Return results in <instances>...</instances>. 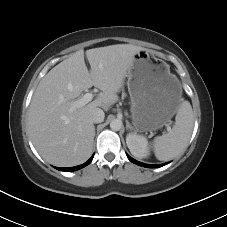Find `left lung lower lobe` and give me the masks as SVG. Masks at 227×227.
Instances as JSON below:
<instances>
[{"label": "left lung lower lobe", "instance_id": "0a47b994", "mask_svg": "<svg viewBox=\"0 0 227 227\" xmlns=\"http://www.w3.org/2000/svg\"><path fill=\"white\" fill-rule=\"evenodd\" d=\"M127 157H128V159H129L131 162H133V163H135V164H137V165H139V166H142V167L157 168V167H162V166L165 165V164H161V165H149V164H145V163H141V162H139V161H136V160H134L133 158H131V157L128 156V155H127ZM166 164H167V163H166Z\"/></svg>", "mask_w": 227, "mask_h": 227}]
</instances>
